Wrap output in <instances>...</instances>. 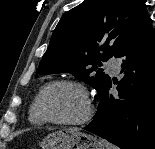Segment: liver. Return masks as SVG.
<instances>
[{"instance_id":"1","label":"liver","mask_w":155,"mask_h":149,"mask_svg":"<svg viewBox=\"0 0 155 149\" xmlns=\"http://www.w3.org/2000/svg\"><path fill=\"white\" fill-rule=\"evenodd\" d=\"M72 130H74V131H79V129H77V128H71Z\"/></svg>"}]
</instances>
